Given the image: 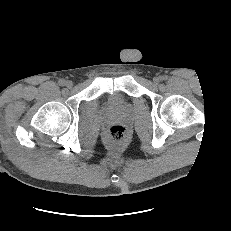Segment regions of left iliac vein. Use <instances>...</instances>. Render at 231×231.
Segmentation results:
<instances>
[{"mask_svg": "<svg viewBox=\"0 0 231 231\" xmlns=\"http://www.w3.org/2000/svg\"><path fill=\"white\" fill-rule=\"evenodd\" d=\"M153 82H154V84H158L160 82V78L159 77H154Z\"/></svg>", "mask_w": 231, "mask_h": 231, "instance_id": "4c4485c4", "label": "left iliac vein"}]
</instances>
